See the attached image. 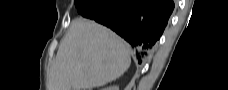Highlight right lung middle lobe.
<instances>
[{
    "label": "right lung middle lobe",
    "mask_w": 228,
    "mask_h": 90,
    "mask_svg": "<svg viewBox=\"0 0 228 90\" xmlns=\"http://www.w3.org/2000/svg\"><path fill=\"white\" fill-rule=\"evenodd\" d=\"M105 0H75L77 11L82 16L95 14L104 5Z\"/></svg>",
    "instance_id": "right-lung-middle-lobe-1"
}]
</instances>
